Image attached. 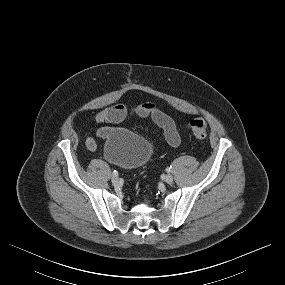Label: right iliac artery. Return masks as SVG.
Listing matches in <instances>:
<instances>
[{
	"label": "right iliac artery",
	"mask_w": 285,
	"mask_h": 285,
	"mask_svg": "<svg viewBox=\"0 0 285 285\" xmlns=\"http://www.w3.org/2000/svg\"><path fill=\"white\" fill-rule=\"evenodd\" d=\"M113 176H118V172L116 170L113 171Z\"/></svg>",
	"instance_id": "obj_1"
}]
</instances>
